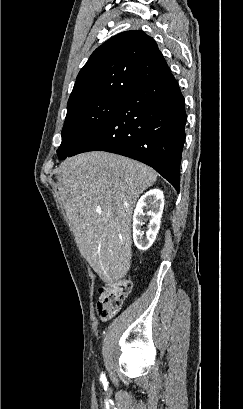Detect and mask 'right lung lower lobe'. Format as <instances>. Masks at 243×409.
<instances>
[{"instance_id":"obj_1","label":"right lung lower lobe","mask_w":243,"mask_h":409,"mask_svg":"<svg viewBox=\"0 0 243 409\" xmlns=\"http://www.w3.org/2000/svg\"><path fill=\"white\" fill-rule=\"evenodd\" d=\"M186 119L184 97L170 73L130 94L68 157L96 150L127 156L153 167L179 191Z\"/></svg>"}]
</instances>
